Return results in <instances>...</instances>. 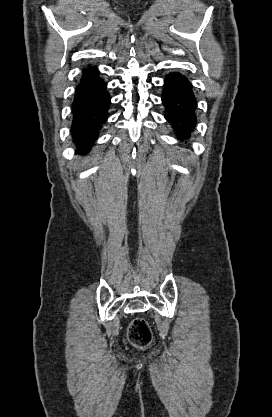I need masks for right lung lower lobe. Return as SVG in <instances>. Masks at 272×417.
<instances>
[{"mask_svg":"<svg viewBox=\"0 0 272 417\" xmlns=\"http://www.w3.org/2000/svg\"><path fill=\"white\" fill-rule=\"evenodd\" d=\"M109 105L110 95L97 69H83L72 103L71 132L79 152L88 150L98 138L102 124L107 120Z\"/></svg>","mask_w":272,"mask_h":417,"instance_id":"right-lung-lower-lobe-1","label":"right lung lower lobe"}]
</instances>
